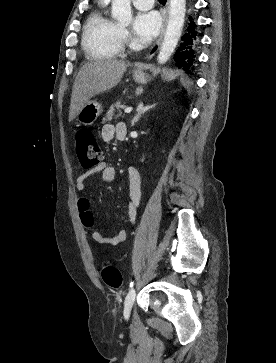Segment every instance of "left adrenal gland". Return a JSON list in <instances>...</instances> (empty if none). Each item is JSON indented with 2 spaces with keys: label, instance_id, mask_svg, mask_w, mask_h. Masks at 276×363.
Segmentation results:
<instances>
[{
  "label": "left adrenal gland",
  "instance_id": "a2214340",
  "mask_svg": "<svg viewBox=\"0 0 276 363\" xmlns=\"http://www.w3.org/2000/svg\"><path fill=\"white\" fill-rule=\"evenodd\" d=\"M155 105L156 104L144 106L143 103H140L136 109L137 114L131 121V126H134L135 123L138 122L139 119L142 117V115H144L147 111L155 107Z\"/></svg>",
  "mask_w": 276,
  "mask_h": 363
}]
</instances>
